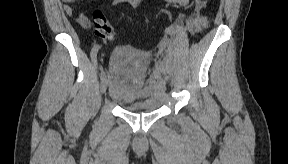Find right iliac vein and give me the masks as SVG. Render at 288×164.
Returning <instances> with one entry per match:
<instances>
[{"instance_id":"right-iliac-vein-1","label":"right iliac vein","mask_w":288,"mask_h":164,"mask_svg":"<svg viewBox=\"0 0 288 164\" xmlns=\"http://www.w3.org/2000/svg\"><path fill=\"white\" fill-rule=\"evenodd\" d=\"M107 86H108L107 77H106L105 73H102L101 74V92H102V94H104L106 92Z\"/></svg>"}]
</instances>
